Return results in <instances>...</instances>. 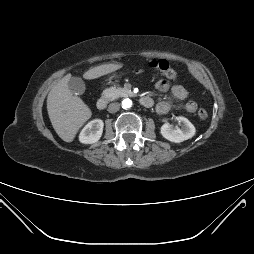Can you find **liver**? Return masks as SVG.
<instances>
[{"label": "liver", "mask_w": 254, "mask_h": 254, "mask_svg": "<svg viewBox=\"0 0 254 254\" xmlns=\"http://www.w3.org/2000/svg\"><path fill=\"white\" fill-rule=\"evenodd\" d=\"M122 64H103L89 69L83 74L85 79H96L112 73ZM71 75L62 78L49 92L47 97V111L52 126L58 136L65 142H72L78 130L91 117L92 113L83 100L68 88Z\"/></svg>", "instance_id": "obj_1"}]
</instances>
